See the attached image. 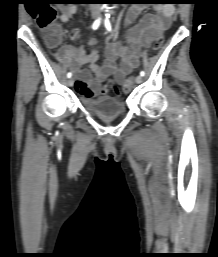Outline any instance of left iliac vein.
<instances>
[{"mask_svg":"<svg viewBox=\"0 0 218 257\" xmlns=\"http://www.w3.org/2000/svg\"><path fill=\"white\" fill-rule=\"evenodd\" d=\"M142 82V76L141 75H138L137 77H136V83H141Z\"/></svg>","mask_w":218,"mask_h":257,"instance_id":"obj_1","label":"left iliac vein"}]
</instances>
